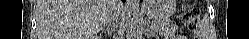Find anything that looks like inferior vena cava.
Listing matches in <instances>:
<instances>
[{"label": "inferior vena cava", "mask_w": 249, "mask_h": 39, "mask_svg": "<svg viewBox=\"0 0 249 39\" xmlns=\"http://www.w3.org/2000/svg\"><path fill=\"white\" fill-rule=\"evenodd\" d=\"M115 1L119 2L120 0H115ZM118 16H119V12L117 11V5L113 4V9L111 13L105 18L103 27L110 26V24H112L111 26H115L114 21L117 20Z\"/></svg>", "instance_id": "602c4592"}]
</instances>
